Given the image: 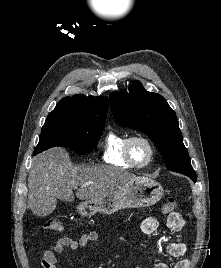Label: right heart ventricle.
Instances as JSON below:
<instances>
[{
	"label": "right heart ventricle",
	"mask_w": 221,
	"mask_h": 268,
	"mask_svg": "<svg viewBox=\"0 0 221 268\" xmlns=\"http://www.w3.org/2000/svg\"><path fill=\"white\" fill-rule=\"evenodd\" d=\"M127 138L128 135L115 131L106 135L102 155L104 162L120 168H132L124 155V144Z\"/></svg>",
	"instance_id": "right-heart-ventricle-1"
}]
</instances>
